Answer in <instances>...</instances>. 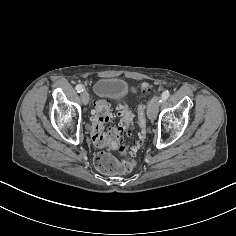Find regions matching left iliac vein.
Listing matches in <instances>:
<instances>
[{
	"instance_id": "left-iliac-vein-1",
	"label": "left iliac vein",
	"mask_w": 236,
	"mask_h": 236,
	"mask_svg": "<svg viewBox=\"0 0 236 236\" xmlns=\"http://www.w3.org/2000/svg\"><path fill=\"white\" fill-rule=\"evenodd\" d=\"M159 105H160V97L154 96L148 105L147 115L149 119L151 120L156 119Z\"/></svg>"
}]
</instances>
